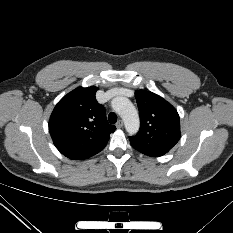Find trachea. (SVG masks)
<instances>
[{
    "mask_svg": "<svg viewBox=\"0 0 233 233\" xmlns=\"http://www.w3.org/2000/svg\"><path fill=\"white\" fill-rule=\"evenodd\" d=\"M108 120L111 124H115L117 122V115L114 112L109 113Z\"/></svg>",
    "mask_w": 233,
    "mask_h": 233,
    "instance_id": "obj_1",
    "label": "trachea"
}]
</instances>
